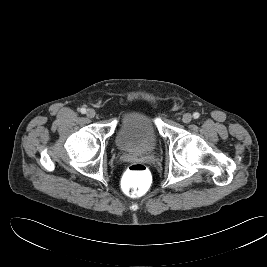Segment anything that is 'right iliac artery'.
I'll return each mask as SVG.
<instances>
[{
	"label": "right iliac artery",
	"instance_id": "obj_1",
	"mask_svg": "<svg viewBox=\"0 0 267 267\" xmlns=\"http://www.w3.org/2000/svg\"><path fill=\"white\" fill-rule=\"evenodd\" d=\"M80 112H81L82 114H85V113H86V109H85V108H81V109H80Z\"/></svg>",
	"mask_w": 267,
	"mask_h": 267
}]
</instances>
